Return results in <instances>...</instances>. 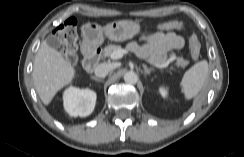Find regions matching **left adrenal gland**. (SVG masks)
I'll return each instance as SVG.
<instances>
[{
    "label": "left adrenal gland",
    "mask_w": 244,
    "mask_h": 157,
    "mask_svg": "<svg viewBox=\"0 0 244 157\" xmlns=\"http://www.w3.org/2000/svg\"><path fill=\"white\" fill-rule=\"evenodd\" d=\"M144 68V76L147 77L154 70L153 68H148L145 64L142 65Z\"/></svg>",
    "instance_id": "1"
}]
</instances>
